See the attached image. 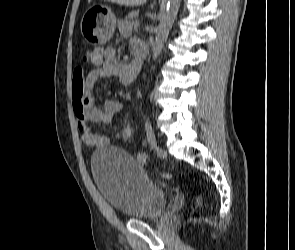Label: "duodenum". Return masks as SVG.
Segmentation results:
<instances>
[{
	"label": "duodenum",
	"mask_w": 295,
	"mask_h": 250,
	"mask_svg": "<svg viewBox=\"0 0 295 250\" xmlns=\"http://www.w3.org/2000/svg\"><path fill=\"white\" fill-rule=\"evenodd\" d=\"M135 59H136V62H137V68L138 70L141 69V66L146 58V49L141 46V45H138L136 46L135 48Z\"/></svg>",
	"instance_id": "1"
}]
</instances>
